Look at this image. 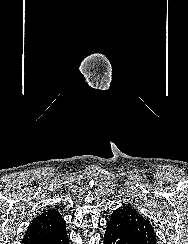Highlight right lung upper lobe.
Segmentation results:
<instances>
[{
	"instance_id": "obj_1",
	"label": "right lung upper lobe",
	"mask_w": 188,
	"mask_h": 244,
	"mask_svg": "<svg viewBox=\"0 0 188 244\" xmlns=\"http://www.w3.org/2000/svg\"><path fill=\"white\" fill-rule=\"evenodd\" d=\"M65 226V220L61 217L59 212L56 211V209L44 211L42 214L34 218V220L28 226L22 240V244H27V242L35 238L41 237L49 232Z\"/></svg>"
}]
</instances>
